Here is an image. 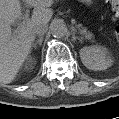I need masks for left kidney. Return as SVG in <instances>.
I'll return each instance as SVG.
<instances>
[{
	"label": "left kidney",
	"mask_w": 119,
	"mask_h": 119,
	"mask_svg": "<svg viewBox=\"0 0 119 119\" xmlns=\"http://www.w3.org/2000/svg\"><path fill=\"white\" fill-rule=\"evenodd\" d=\"M80 58L85 67L94 71L105 70L113 63L108 50L98 45L81 48Z\"/></svg>",
	"instance_id": "left-kidney-1"
}]
</instances>
